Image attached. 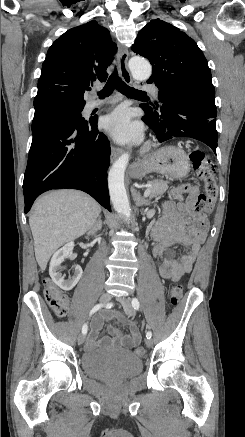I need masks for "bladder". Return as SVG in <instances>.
Masks as SVG:
<instances>
[{"label":"bladder","mask_w":245,"mask_h":437,"mask_svg":"<svg viewBox=\"0 0 245 437\" xmlns=\"http://www.w3.org/2000/svg\"><path fill=\"white\" fill-rule=\"evenodd\" d=\"M81 367L86 375L102 381H124L142 369L141 359L126 349H95L83 353Z\"/></svg>","instance_id":"1"}]
</instances>
